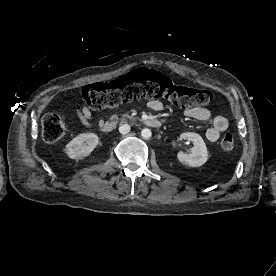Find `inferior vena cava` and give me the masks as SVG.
<instances>
[{"instance_id":"602c4592","label":"inferior vena cava","mask_w":276,"mask_h":276,"mask_svg":"<svg viewBox=\"0 0 276 276\" xmlns=\"http://www.w3.org/2000/svg\"><path fill=\"white\" fill-rule=\"evenodd\" d=\"M130 131V126L128 124H123L119 127V132L121 134H126Z\"/></svg>"}]
</instances>
